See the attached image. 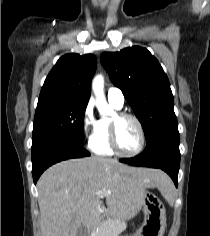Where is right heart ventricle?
<instances>
[{
	"label": "right heart ventricle",
	"mask_w": 210,
	"mask_h": 236,
	"mask_svg": "<svg viewBox=\"0 0 210 236\" xmlns=\"http://www.w3.org/2000/svg\"><path fill=\"white\" fill-rule=\"evenodd\" d=\"M114 108H117L111 104ZM110 119L103 117L98 121L97 130L89 142V148L91 151L100 156H112L114 151L110 146L109 141Z\"/></svg>",
	"instance_id": "obj_1"
}]
</instances>
